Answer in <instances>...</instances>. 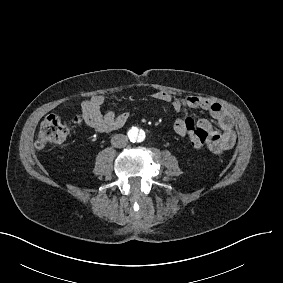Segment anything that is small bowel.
<instances>
[{
  "instance_id": "c3829d8e",
  "label": "small bowel",
  "mask_w": 283,
  "mask_h": 283,
  "mask_svg": "<svg viewBox=\"0 0 283 283\" xmlns=\"http://www.w3.org/2000/svg\"><path fill=\"white\" fill-rule=\"evenodd\" d=\"M149 97L157 101L169 103L180 114L174 122V131L179 136H185L182 125L188 117H191L187 112L188 109L207 111L219 127L218 130L210 121L202 119L203 128L209 130L212 135V140L207 148L214 154H221L234 146L236 142L234 119L219 103L200 95L177 98L171 93L162 90L150 93ZM103 104L104 97L102 95H94L82 103V113L87 125L102 133L123 127L129 119V113L126 111L119 113L103 112Z\"/></svg>"
}]
</instances>
